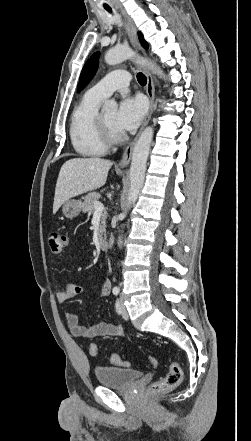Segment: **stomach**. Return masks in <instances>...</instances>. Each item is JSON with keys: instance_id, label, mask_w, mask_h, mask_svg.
<instances>
[{"instance_id": "stomach-1", "label": "stomach", "mask_w": 251, "mask_h": 441, "mask_svg": "<svg viewBox=\"0 0 251 441\" xmlns=\"http://www.w3.org/2000/svg\"><path fill=\"white\" fill-rule=\"evenodd\" d=\"M82 209L83 205L81 201L75 199H68L62 206L64 216L69 219L78 216Z\"/></svg>"}]
</instances>
